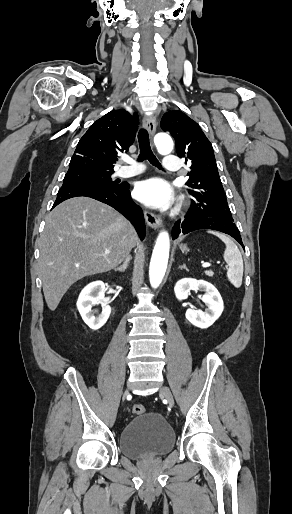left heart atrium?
<instances>
[{
	"instance_id": "1",
	"label": "left heart atrium",
	"mask_w": 292,
	"mask_h": 514,
	"mask_svg": "<svg viewBox=\"0 0 292 514\" xmlns=\"http://www.w3.org/2000/svg\"><path fill=\"white\" fill-rule=\"evenodd\" d=\"M134 193L138 200L152 207H167L173 200L167 183L157 177L138 183Z\"/></svg>"
}]
</instances>
